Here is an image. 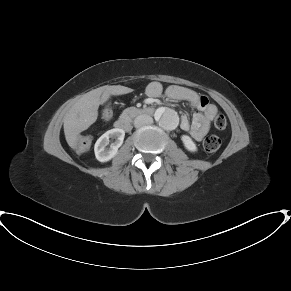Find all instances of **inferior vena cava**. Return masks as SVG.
I'll use <instances>...</instances> for the list:
<instances>
[{
    "mask_svg": "<svg viewBox=\"0 0 291 291\" xmlns=\"http://www.w3.org/2000/svg\"><path fill=\"white\" fill-rule=\"evenodd\" d=\"M152 123H153V118L150 117L149 115H145V114L137 116L134 120V126L136 128H139V127L144 126V125H149Z\"/></svg>",
    "mask_w": 291,
    "mask_h": 291,
    "instance_id": "1",
    "label": "inferior vena cava"
}]
</instances>
